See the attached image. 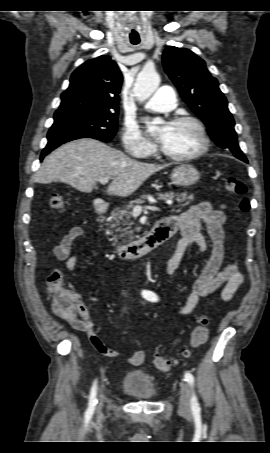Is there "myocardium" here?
Returning a JSON list of instances; mask_svg holds the SVG:
<instances>
[{"mask_svg": "<svg viewBox=\"0 0 270 453\" xmlns=\"http://www.w3.org/2000/svg\"><path fill=\"white\" fill-rule=\"evenodd\" d=\"M182 123H188L191 124L195 127V129L198 132V135L200 137V147L198 150H196L193 153L190 154H185V155H172L164 152L162 147L159 148L160 155L172 162H188L192 160H196L203 156L209 149V138L205 129L204 124L196 117L189 116V115H182V116H176L174 117L171 121L170 124H182Z\"/></svg>", "mask_w": 270, "mask_h": 453, "instance_id": "1", "label": "myocardium"}]
</instances>
